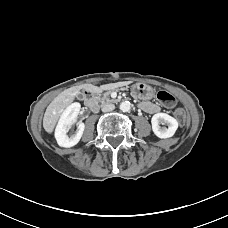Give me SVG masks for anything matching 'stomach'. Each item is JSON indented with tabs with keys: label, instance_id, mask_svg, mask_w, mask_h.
I'll use <instances>...</instances> for the list:
<instances>
[{
	"label": "stomach",
	"instance_id": "0dacf381",
	"mask_svg": "<svg viewBox=\"0 0 228 228\" xmlns=\"http://www.w3.org/2000/svg\"><path fill=\"white\" fill-rule=\"evenodd\" d=\"M132 95L141 100H149L153 97V89L146 83L137 82L131 86Z\"/></svg>",
	"mask_w": 228,
	"mask_h": 228
}]
</instances>
